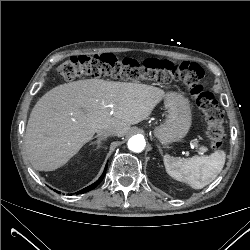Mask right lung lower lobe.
<instances>
[{"label":"right lung lower lobe","instance_id":"right-lung-lower-lobe-1","mask_svg":"<svg viewBox=\"0 0 250 250\" xmlns=\"http://www.w3.org/2000/svg\"><path fill=\"white\" fill-rule=\"evenodd\" d=\"M106 170H107V165H106V167L104 169L103 174L101 175V177L95 183H93L92 185L82 189L81 191H79L77 193L82 194V193L88 192L90 190H93L95 187H97V185L103 180V178H104V176L106 174Z\"/></svg>","mask_w":250,"mask_h":250}]
</instances>
